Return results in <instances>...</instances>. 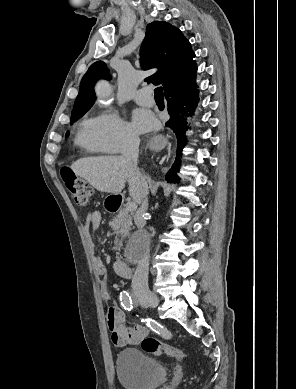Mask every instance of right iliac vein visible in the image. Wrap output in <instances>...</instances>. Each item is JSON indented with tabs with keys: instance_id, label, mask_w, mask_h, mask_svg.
<instances>
[{
	"instance_id": "63e3f726",
	"label": "right iliac vein",
	"mask_w": 296,
	"mask_h": 389,
	"mask_svg": "<svg viewBox=\"0 0 296 389\" xmlns=\"http://www.w3.org/2000/svg\"><path fill=\"white\" fill-rule=\"evenodd\" d=\"M141 303L143 305L155 308L159 304V300L156 295L148 294L142 298Z\"/></svg>"
}]
</instances>
